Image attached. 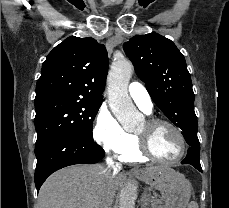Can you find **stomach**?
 Returning <instances> with one entry per match:
<instances>
[{
    "mask_svg": "<svg viewBox=\"0 0 229 208\" xmlns=\"http://www.w3.org/2000/svg\"><path fill=\"white\" fill-rule=\"evenodd\" d=\"M138 180L159 190L166 202L165 208H187L192 186L184 176H172L168 172H138Z\"/></svg>",
    "mask_w": 229,
    "mask_h": 208,
    "instance_id": "0dacf381",
    "label": "stomach"
}]
</instances>
